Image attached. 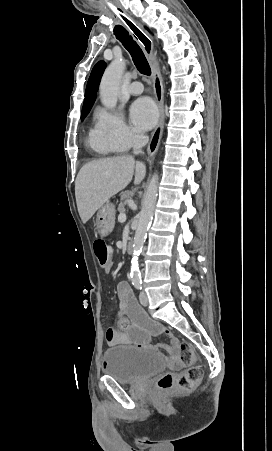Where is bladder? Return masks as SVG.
I'll return each instance as SVG.
<instances>
[{
  "mask_svg": "<svg viewBox=\"0 0 272 451\" xmlns=\"http://www.w3.org/2000/svg\"><path fill=\"white\" fill-rule=\"evenodd\" d=\"M105 373L117 378L119 384H133L165 372L167 363L162 354L147 353L130 346L106 348L103 354Z\"/></svg>",
  "mask_w": 272,
  "mask_h": 451,
  "instance_id": "obj_1",
  "label": "bladder"
}]
</instances>
